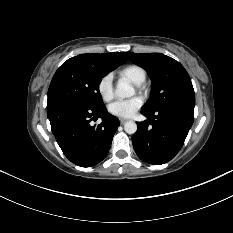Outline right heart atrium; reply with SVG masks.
Returning <instances> with one entry per match:
<instances>
[{
    "label": "right heart atrium",
    "mask_w": 233,
    "mask_h": 233,
    "mask_svg": "<svg viewBox=\"0 0 233 233\" xmlns=\"http://www.w3.org/2000/svg\"><path fill=\"white\" fill-rule=\"evenodd\" d=\"M97 91L103 101H110L114 96L113 78L111 74H105L97 83Z\"/></svg>",
    "instance_id": "right-heart-atrium-1"
}]
</instances>
